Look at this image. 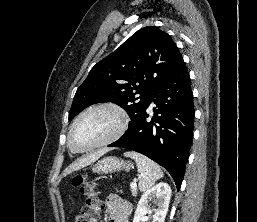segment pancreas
Instances as JSON below:
<instances>
[{
    "label": "pancreas",
    "mask_w": 257,
    "mask_h": 222,
    "mask_svg": "<svg viewBox=\"0 0 257 222\" xmlns=\"http://www.w3.org/2000/svg\"><path fill=\"white\" fill-rule=\"evenodd\" d=\"M131 192L133 196L137 195V188H131Z\"/></svg>",
    "instance_id": "1"
}]
</instances>
